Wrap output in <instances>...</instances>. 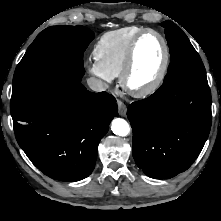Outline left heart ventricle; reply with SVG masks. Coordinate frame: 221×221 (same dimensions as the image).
<instances>
[{
  "label": "left heart ventricle",
  "mask_w": 221,
  "mask_h": 221,
  "mask_svg": "<svg viewBox=\"0 0 221 221\" xmlns=\"http://www.w3.org/2000/svg\"><path fill=\"white\" fill-rule=\"evenodd\" d=\"M164 57L160 39L154 34L145 35L138 43L134 66L129 77L132 88H143L157 76Z\"/></svg>",
  "instance_id": "1"
}]
</instances>
